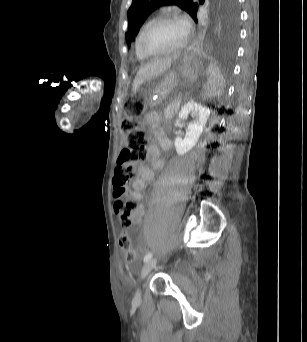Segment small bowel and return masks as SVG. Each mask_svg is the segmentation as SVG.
Wrapping results in <instances>:
<instances>
[{"mask_svg": "<svg viewBox=\"0 0 307 342\" xmlns=\"http://www.w3.org/2000/svg\"><path fill=\"white\" fill-rule=\"evenodd\" d=\"M145 123L152 131L154 136L158 139L160 148L155 144H151L147 152V161L153 169H160L163 167L164 162L161 158V151L168 150L171 147L170 139L165 135L162 129H160L154 117L149 115L145 119ZM138 175L131 182V198L136 204L135 213L133 216V224H139L145 214V205L143 203V190L145 188L146 181L152 180L154 177L153 171L146 164L140 163L137 166Z\"/></svg>", "mask_w": 307, "mask_h": 342, "instance_id": "1", "label": "small bowel"}]
</instances>
